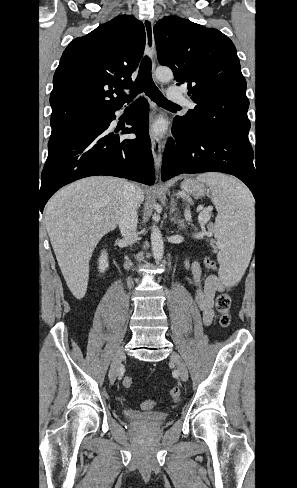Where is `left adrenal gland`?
I'll return each mask as SVG.
<instances>
[{
	"mask_svg": "<svg viewBox=\"0 0 297 488\" xmlns=\"http://www.w3.org/2000/svg\"><path fill=\"white\" fill-rule=\"evenodd\" d=\"M175 194L171 197V203H170V217H171V221H174L175 223H178L180 222V220L178 219V209L176 208V199H175ZM177 198H178V194H176Z\"/></svg>",
	"mask_w": 297,
	"mask_h": 488,
	"instance_id": "left-adrenal-gland-1",
	"label": "left adrenal gland"
}]
</instances>
